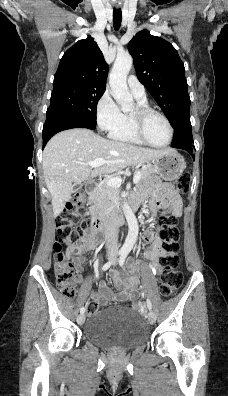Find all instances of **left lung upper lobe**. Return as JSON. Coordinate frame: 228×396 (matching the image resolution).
<instances>
[{"label":"left lung upper lobe","instance_id":"5c2ea615","mask_svg":"<svg viewBox=\"0 0 228 396\" xmlns=\"http://www.w3.org/2000/svg\"><path fill=\"white\" fill-rule=\"evenodd\" d=\"M139 81L147 88L169 119L172 127L189 113L185 69L176 49L164 39L147 30L138 32L129 42Z\"/></svg>","mask_w":228,"mask_h":396}]
</instances>
